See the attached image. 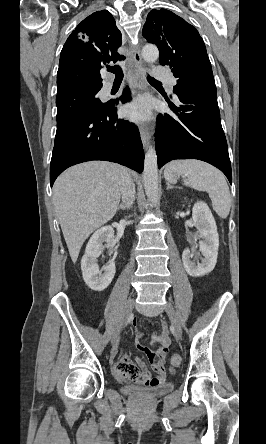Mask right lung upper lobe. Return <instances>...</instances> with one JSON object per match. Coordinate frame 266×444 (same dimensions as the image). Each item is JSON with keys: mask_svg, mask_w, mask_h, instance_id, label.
<instances>
[{"mask_svg": "<svg viewBox=\"0 0 266 444\" xmlns=\"http://www.w3.org/2000/svg\"><path fill=\"white\" fill-rule=\"evenodd\" d=\"M121 43L122 34L109 11H97L85 18L62 48L57 97L99 91L102 87L101 68L110 61L116 63L125 59L116 52Z\"/></svg>", "mask_w": 266, "mask_h": 444, "instance_id": "1", "label": "right lung upper lobe"}]
</instances>
